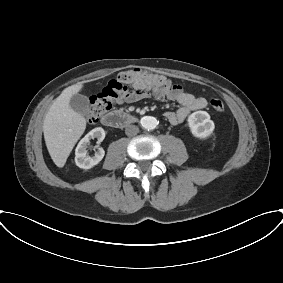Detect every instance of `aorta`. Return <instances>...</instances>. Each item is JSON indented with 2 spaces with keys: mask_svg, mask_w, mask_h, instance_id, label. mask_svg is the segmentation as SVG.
Returning a JSON list of instances; mask_svg holds the SVG:
<instances>
[{
  "mask_svg": "<svg viewBox=\"0 0 283 283\" xmlns=\"http://www.w3.org/2000/svg\"><path fill=\"white\" fill-rule=\"evenodd\" d=\"M142 127L146 130H153L158 125V121L153 116H144L140 121Z\"/></svg>",
  "mask_w": 283,
  "mask_h": 283,
  "instance_id": "762f6f07",
  "label": "aorta"
}]
</instances>
